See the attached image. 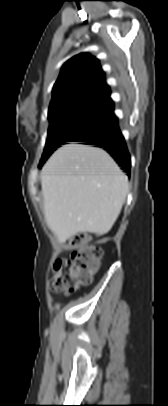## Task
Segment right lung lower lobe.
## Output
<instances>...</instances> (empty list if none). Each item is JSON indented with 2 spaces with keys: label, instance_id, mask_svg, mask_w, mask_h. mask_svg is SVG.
I'll return each mask as SVG.
<instances>
[{
  "label": "right lung lower lobe",
  "instance_id": "98d812e1",
  "mask_svg": "<svg viewBox=\"0 0 168 406\" xmlns=\"http://www.w3.org/2000/svg\"><path fill=\"white\" fill-rule=\"evenodd\" d=\"M77 141L103 148L114 158V160H116L122 169L130 175V155L124 137L118 128L116 117L109 125L94 131Z\"/></svg>",
  "mask_w": 168,
  "mask_h": 406
}]
</instances>
